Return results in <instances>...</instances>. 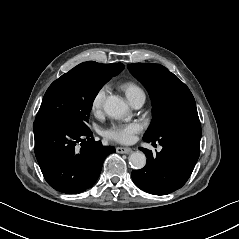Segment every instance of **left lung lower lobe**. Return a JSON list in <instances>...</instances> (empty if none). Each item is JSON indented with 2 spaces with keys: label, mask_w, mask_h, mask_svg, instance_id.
Masks as SVG:
<instances>
[{
  "label": "left lung lower lobe",
  "mask_w": 239,
  "mask_h": 239,
  "mask_svg": "<svg viewBox=\"0 0 239 239\" xmlns=\"http://www.w3.org/2000/svg\"><path fill=\"white\" fill-rule=\"evenodd\" d=\"M143 139L153 145L159 141L163 148L156 155L150 150L139 148L148 159L144 168L132 171L133 182L154 195H166L181 188L199 158L200 122H181L165 129L158 139Z\"/></svg>",
  "instance_id": "0a47b994"
}]
</instances>
